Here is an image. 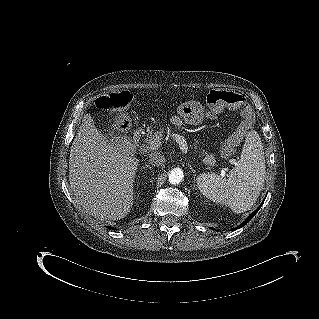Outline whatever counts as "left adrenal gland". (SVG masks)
Wrapping results in <instances>:
<instances>
[{"label": "left adrenal gland", "instance_id": "1", "mask_svg": "<svg viewBox=\"0 0 319 319\" xmlns=\"http://www.w3.org/2000/svg\"><path fill=\"white\" fill-rule=\"evenodd\" d=\"M189 166V169L192 171V173H193V175H194V177L196 176V171L194 170V168L192 167V165H188Z\"/></svg>", "mask_w": 319, "mask_h": 319}]
</instances>
